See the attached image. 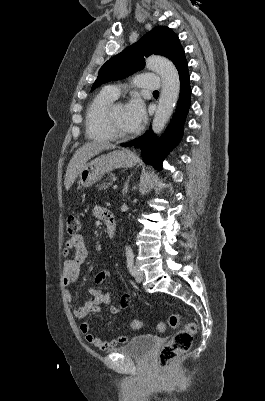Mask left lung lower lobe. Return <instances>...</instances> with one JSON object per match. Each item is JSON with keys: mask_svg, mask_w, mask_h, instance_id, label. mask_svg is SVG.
<instances>
[{"mask_svg": "<svg viewBox=\"0 0 265 401\" xmlns=\"http://www.w3.org/2000/svg\"><path fill=\"white\" fill-rule=\"evenodd\" d=\"M187 67L188 64L186 59L182 60L176 67L179 73L181 84L180 98L178 100L176 112L174 113L166 132L160 139L159 145L156 146L157 139L151 131L146 132L145 135L127 144L140 146L141 150L144 152V154H142L144 162L147 164H152L159 170L161 169L162 160L177 144L182 136L184 121L190 107L191 89L189 85V74ZM122 146H125V144H122ZM153 149L157 150V152H153Z\"/></svg>", "mask_w": 265, "mask_h": 401, "instance_id": "0a47b994", "label": "left lung lower lobe"}]
</instances>
